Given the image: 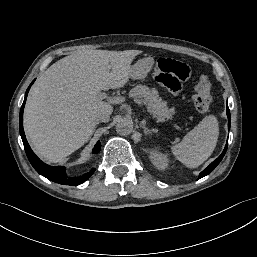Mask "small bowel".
I'll return each instance as SVG.
<instances>
[{"instance_id": "obj_1", "label": "small bowel", "mask_w": 257, "mask_h": 257, "mask_svg": "<svg viewBox=\"0 0 257 257\" xmlns=\"http://www.w3.org/2000/svg\"><path fill=\"white\" fill-rule=\"evenodd\" d=\"M153 77L161 93L168 98L181 96L191 79L189 66L176 59H162L153 68Z\"/></svg>"}]
</instances>
